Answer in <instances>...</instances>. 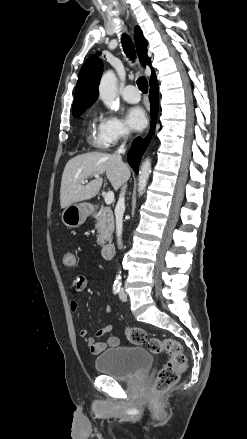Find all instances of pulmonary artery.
Wrapping results in <instances>:
<instances>
[{
  "label": "pulmonary artery",
  "mask_w": 247,
  "mask_h": 439,
  "mask_svg": "<svg viewBox=\"0 0 247 439\" xmlns=\"http://www.w3.org/2000/svg\"><path fill=\"white\" fill-rule=\"evenodd\" d=\"M123 99L129 103L140 101L139 90L134 85H127L122 92Z\"/></svg>",
  "instance_id": "e3ab8cb5"
}]
</instances>
